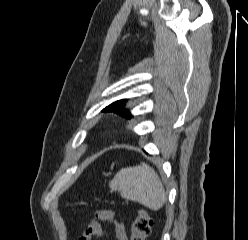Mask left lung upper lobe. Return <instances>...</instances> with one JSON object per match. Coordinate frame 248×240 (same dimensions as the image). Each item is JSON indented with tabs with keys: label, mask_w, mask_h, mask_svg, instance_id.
I'll use <instances>...</instances> for the list:
<instances>
[{
	"label": "left lung upper lobe",
	"mask_w": 248,
	"mask_h": 240,
	"mask_svg": "<svg viewBox=\"0 0 248 240\" xmlns=\"http://www.w3.org/2000/svg\"><path fill=\"white\" fill-rule=\"evenodd\" d=\"M125 102H126V99L113 102L112 104L104 108L102 112H115L123 117L132 118L131 113L128 110L123 109Z\"/></svg>",
	"instance_id": "5c2ea615"
}]
</instances>
